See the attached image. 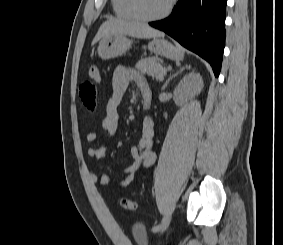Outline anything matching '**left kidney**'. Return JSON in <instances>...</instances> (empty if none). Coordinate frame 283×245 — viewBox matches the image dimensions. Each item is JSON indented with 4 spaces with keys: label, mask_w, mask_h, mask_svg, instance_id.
<instances>
[{
    "label": "left kidney",
    "mask_w": 283,
    "mask_h": 245,
    "mask_svg": "<svg viewBox=\"0 0 283 245\" xmlns=\"http://www.w3.org/2000/svg\"><path fill=\"white\" fill-rule=\"evenodd\" d=\"M203 88V80L199 73L191 72L185 75L174 90V99L182 103L198 95Z\"/></svg>",
    "instance_id": "1"
}]
</instances>
